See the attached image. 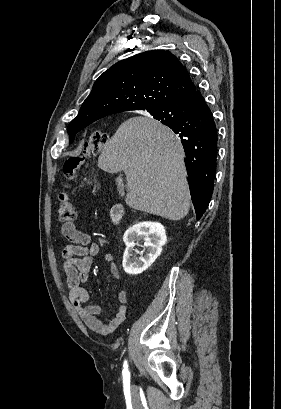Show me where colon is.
Returning a JSON list of instances; mask_svg holds the SVG:
<instances>
[{"instance_id":"obj_1","label":"colon","mask_w":281,"mask_h":409,"mask_svg":"<svg viewBox=\"0 0 281 409\" xmlns=\"http://www.w3.org/2000/svg\"><path fill=\"white\" fill-rule=\"evenodd\" d=\"M108 141L107 133L102 129H95L92 131L88 143L85 145V154L83 156H71L63 165V175L71 179L78 170L82 167L86 155L98 154L103 149ZM76 219V204L70 198L69 193L65 190L58 194L57 205V220L63 230L66 227V231H69L70 225Z\"/></svg>"}]
</instances>
